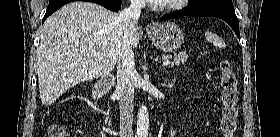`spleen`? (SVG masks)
<instances>
[{
    "mask_svg": "<svg viewBox=\"0 0 280 137\" xmlns=\"http://www.w3.org/2000/svg\"><path fill=\"white\" fill-rule=\"evenodd\" d=\"M205 37L207 39V41H209L210 43H212L215 47L218 48H225V42L223 41L222 38H220L218 35H216L215 33L206 31L205 32Z\"/></svg>",
    "mask_w": 280,
    "mask_h": 137,
    "instance_id": "obj_1",
    "label": "spleen"
}]
</instances>
